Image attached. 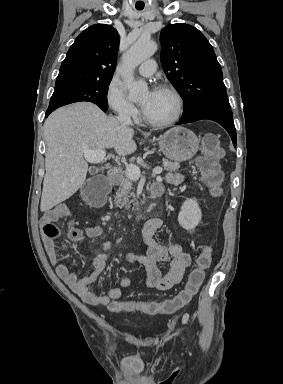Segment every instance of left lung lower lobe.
<instances>
[{"label": "left lung lower lobe", "instance_id": "1", "mask_svg": "<svg viewBox=\"0 0 283 384\" xmlns=\"http://www.w3.org/2000/svg\"><path fill=\"white\" fill-rule=\"evenodd\" d=\"M202 119L214 120L221 124L231 136L234 146H236V130L231 109L202 112L189 119L180 120L176 125L191 123Z\"/></svg>", "mask_w": 283, "mask_h": 384}]
</instances>
